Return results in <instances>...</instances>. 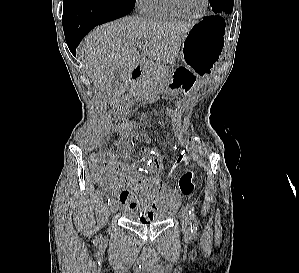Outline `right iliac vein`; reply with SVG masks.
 <instances>
[{
    "label": "right iliac vein",
    "mask_w": 299,
    "mask_h": 273,
    "mask_svg": "<svg viewBox=\"0 0 299 273\" xmlns=\"http://www.w3.org/2000/svg\"><path fill=\"white\" fill-rule=\"evenodd\" d=\"M110 210L112 213H115L118 210V204L116 200H114L110 205Z\"/></svg>",
    "instance_id": "63e3f726"
}]
</instances>
